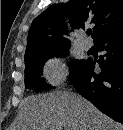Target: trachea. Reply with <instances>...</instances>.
Here are the masks:
<instances>
[{"mask_svg":"<svg viewBox=\"0 0 123 130\" xmlns=\"http://www.w3.org/2000/svg\"><path fill=\"white\" fill-rule=\"evenodd\" d=\"M91 32H92V31H87L86 33H87V35H90V34H91Z\"/></svg>","mask_w":123,"mask_h":130,"instance_id":"3493384b","label":"trachea"}]
</instances>
